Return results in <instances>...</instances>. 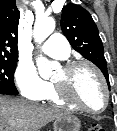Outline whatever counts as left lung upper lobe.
Listing matches in <instances>:
<instances>
[{
    "label": "left lung upper lobe",
    "instance_id": "5c2ea615",
    "mask_svg": "<svg viewBox=\"0 0 117 131\" xmlns=\"http://www.w3.org/2000/svg\"><path fill=\"white\" fill-rule=\"evenodd\" d=\"M61 28L73 49L100 68L110 88L104 48L90 13L79 5H66L62 11Z\"/></svg>",
    "mask_w": 117,
    "mask_h": 131
}]
</instances>
